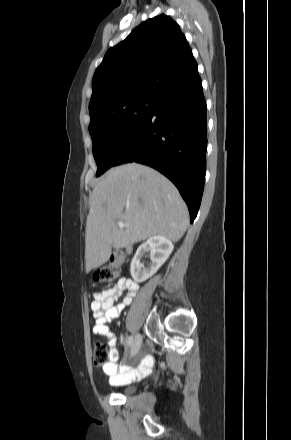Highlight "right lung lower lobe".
<instances>
[{
	"instance_id": "obj_1",
	"label": "right lung lower lobe",
	"mask_w": 291,
	"mask_h": 440,
	"mask_svg": "<svg viewBox=\"0 0 291 440\" xmlns=\"http://www.w3.org/2000/svg\"><path fill=\"white\" fill-rule=\"evenodd\" d=\"M206 102L197 67L155 96L153 107L112 166L137 162L168 177L185 200L192 223L206 172Z\"/></svg>"
}]
</instances>
